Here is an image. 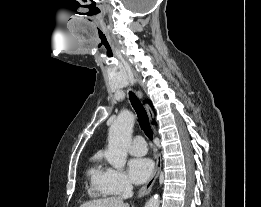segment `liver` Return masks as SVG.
<instances>
[{"instance_id": "6515ba94", "label": "liver", "mask_w": 261, "mask_h": 207, "mask_svg": "<svg viewBox=\"0 0 261 207\" xmlns=\"http://www.w3.org/2000/svg\"><path fill=\"white\" fill-rule=\"evenodd\" d=\"M80 207H129L120 197H107L83 203Z\"/></svg>"}]
</instances>
